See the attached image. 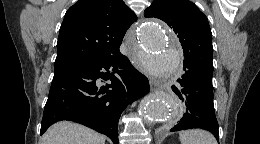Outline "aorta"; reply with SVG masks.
<instances>
[{"label": "aorta", "mask_w": 260, "mask_h": 144, "mask_svg": "<svg viewBox=\"0 0 260 144\" xmlns=\"http://www.w3.org/2000/svg\"><path fill=\"white\" fill-rule=\"evenodd\" d=\"M138 41L148 54L140 59L141 66L150 76L168 78L178 70L181 62L178 41L159 21H145L140 27ZM138 111L143 122L149 125L164 122L169 128L180 118L176 100L165 92L144 97Z\"/></svg>", "instance_id": "762f6f07"}]
</instances>
